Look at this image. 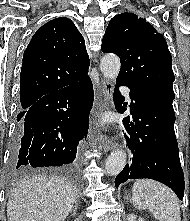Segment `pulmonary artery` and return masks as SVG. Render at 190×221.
<instances>
[{"label":"pulmonary artery","instance_id":"1","mask_svg":"<svg viewBox=\"0 0 190 221\" xmlns=\"http://www.w3.org/2000/svg\"><path fill=\"white\" fill-rule=\"evenodd\" d=\"M125 95H126L127 100L129 102H131L132 100H131V97H130L129 92L127 90L125 91Z\"/></svg>","mask_w":190,"mask_h":221}]
</instances>
